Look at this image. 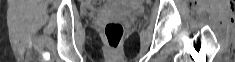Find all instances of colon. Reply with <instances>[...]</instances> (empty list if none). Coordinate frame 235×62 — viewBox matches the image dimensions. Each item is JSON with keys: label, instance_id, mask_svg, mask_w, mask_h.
<instances>
[{"label": "colon", "instance_id": "colon-1", "mask_svg": "<svg viewBox=\"0 0 235 62\" xmlns=\"http://www.w3.org/2000/svg\"><path fill=\"white\" fill-rule=\"evenodd\" d=\"M124 34V27L120 22L112 21L105 25L104 35L111 48H117Z\"/></svg>", "mask_w": 235, "mask_h": 62}]
</instances>
